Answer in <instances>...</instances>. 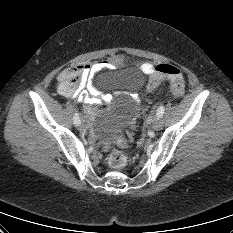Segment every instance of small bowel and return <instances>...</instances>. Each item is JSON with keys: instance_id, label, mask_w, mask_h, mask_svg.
Here are the masks:
<instances>
[{"instance_id": "obj_1", "label": "small bowel", "mask_w": 233, "mask_h": 233, "mask_svg": "<svg viewBox=\"0 0 233 233\" xmlns=\"http://www.w3.org/2000/svg\"><path fill=\"white\" fill-rule=\"evenodd\" d=\"M120 62L121 59L119 57H114L108 60L87 63L81 66V80L78 88L69 94H65L60 91L61 94L66 97H72L78 102L84 103L86 116H91L93 114L92 106L94 104L105 103L111 100L110 95L100 94L94 87L93 77L95 73L102 69L114 68L119 65ZM140 68L147 75H152L155 72L154 65L149 62L141 63Z\"/></svg>"}]
</instances>
